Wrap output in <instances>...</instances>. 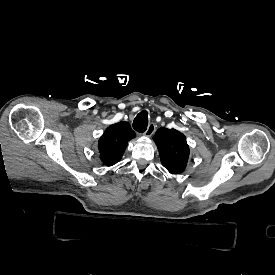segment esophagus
I'll use <instances>...</instances> for the list:
<instances>
[{
	"instance_id": "esophagus-1",
	"label": "esophagus",
	"mask_w": 275,
	"mask_h": 275,
	"mask_svg": "<svg viewBox=\"0 0 275 275\" xmlns=\"http://www.w3.org/2000/svg\"><path fill=\"white\" fill-rule=\"evenodd\" d=\"M156 129V125L154 123L149 124L146 132L144 133L145 136L150 137L154 134Z\"/></svg>"
}]
</instances>
